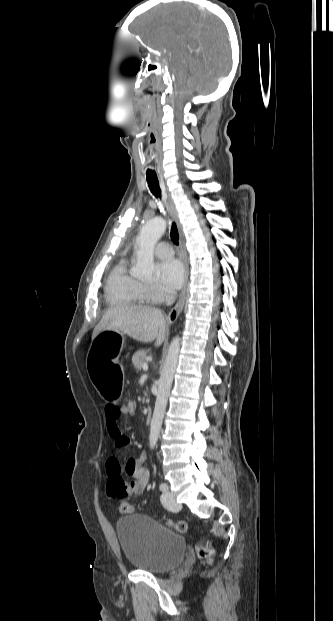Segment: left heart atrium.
Segmentation results:
<instances>
[{
  "label": "left heart atrium",
  "mask_w": 333,
  "mask_h": 621,
  "mask_svg": "<svg viewBox=\"0 0 333 621\" xmlns=\"http://www.w3.org/2000/svg\"><path fill=\"white\" fill-rule=\"evenodd\" d=\"M160 284L169 291L180 288L184 282L185 271L179 260H165L157 266Z\"/></svg>",
  "instance_id": "obj_1"
}]
</instances>
